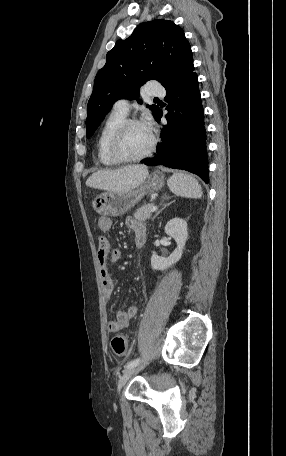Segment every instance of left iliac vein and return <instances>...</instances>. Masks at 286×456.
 I'll return each instance as SVG.
<instances>
[{"mask_svg": "<svg viewBox=\"0 0 286 456\" xmlns=\"http://www.w3.org/2000/svg\"><path fill=\"white\" fill-rule=\"evenodd\" d=\"M136 366L127 368L123 375L120 377L118 381L117 390L120 391L122 387L126 384V382L130 379V377L135 373Z\"/></svg>", "mask_w": 286, "mask_h": 456, "instance_id": "left-iliac-vein-1", "label": "left iliac vein"}]
</instances>
